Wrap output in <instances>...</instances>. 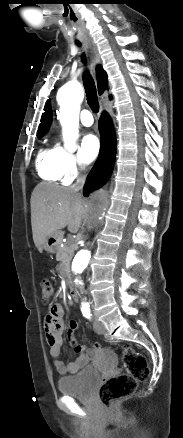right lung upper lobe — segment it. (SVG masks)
Wrapping results in <instances>:
<instances>
[{
    "instance_id": "cb5924a9",
    "label": "right lung upper lobe",
    "mask_w": 183,
    "mask_h": 438,
    "mask_svg": "<svg viewBox=\"0 0 183 438\" xmlns=\"http://www.w3.org/2000/svg\"><path fill=\"white\" fill-rule=\"evenodd\" d=\"M96 73H97L99 94H102L107 89V85H108L107 74L102 69L101 66L97 67ZM44 111L45 112L42 114L41 123L38 130V136L44 135L48 131V128L52 120V113H51L49 100L45 104Z\"/></svg>"
}]
</instances>
